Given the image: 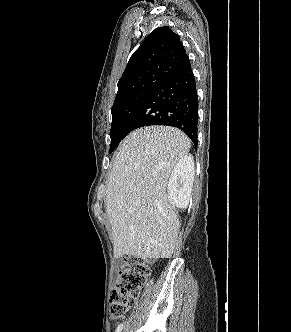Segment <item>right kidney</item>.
<instances>
[{
	"label": "right kidney",
	"instance_id": "ca27d5eb",
	"mask_svg": "<svg viewBox=\"0 0 291 332\" xmlns=\"http://www.w3.org/2000/svg\"><path fill=\"white\" fill-rule=\"evenodd\" d=\"M194 172V160L191 155L184 156L175 165L168 182V198L172 205L180 208L188 206Z\"/></svg>",
	"mask_w": 291,
	"mask_h": 332
}]
</instances>
